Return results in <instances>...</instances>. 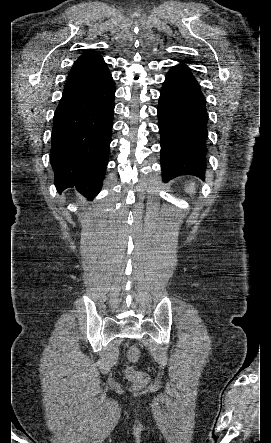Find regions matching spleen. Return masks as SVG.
I'll use <instances>...</instances> for the list:
<instances>
[{
    "mask_svg": "<svg viewBox=\"0 0 271 443\" xmlns=\"http://www.w3.org/2000/svg\"><path fill=\"white\" fill-rule=\"evenodd\" d=\"M193 190H195V186H194V184H189V186H188V192H190V194H192Z\"/></svg>",
    "mask_w": 271,
    "mask_h": 443,
    "instance_id": "1",
    "label": "spleen"
}]
</instances>
